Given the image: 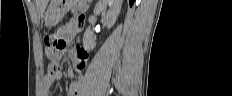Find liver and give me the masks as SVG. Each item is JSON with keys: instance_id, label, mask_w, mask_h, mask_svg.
Listing matches in <instances>:
<instances>
[{"instance_id": "1", "label": "liver", "mask_w": 232, "mask_h": 96, "mask_svg": "<svg viewBox=\"0 0 232 96\" xmlns=\"http://www.w3.org/2000/svg\"><path fill=\"white\" fill-rule=\"evenodd\" d=\"M38 4H39L40 13L42 14L46 9V6L48 4V0H39Z\"/></svg>"}]
</instances>
